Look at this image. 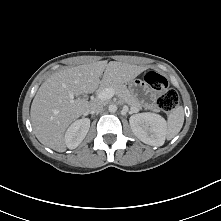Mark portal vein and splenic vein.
Returning <instances> with one entry per match:
<instances>
[{
  "label": "portal vein and splenic vein",
  "mask_w": 221,
  "mask_h": 221,
  "mask_svg": "<svg viewBox=\"0 0 221 221\" xmlns=\"http://www.w3.org/2000/svg\"><path fill=\"white\" fill-rule=\"evenodd\" d=\"M114 94H115V92L113 89L106 88L99 94V98L102 100H107V99L112 98L114 96Z\"/></svg>",
  "instance_id": "obj_1"
}]
</instances>
